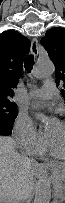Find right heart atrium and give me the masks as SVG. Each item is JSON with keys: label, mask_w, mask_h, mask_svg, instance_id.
Wrapping results in <instances>:
<instances>
[{"label": "right heart atrium", "mask_w": 65, "mask_h": 203, "mask_svg": "<svg viewBox=\"0 0 65 203\" xmlns=\"http://www.w3.org/2000/svg\"><path fill=\"white\" fill-rule=\"evenodd\" d=\"M14 136L20 149L26 152H34L45 146V139L35 129L32 121L25 115L21 114L16 120L14 127Z\"/></svg>", "instance_id": "right-heart-atrium-1"}]
</instances>
